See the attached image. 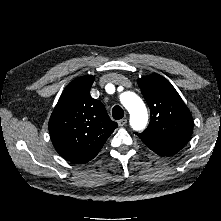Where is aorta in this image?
Wrapping results in <instances>:
<instances>
[{
	"label": "aorta",
	"mask_w": 221,
	"mask_h": 221,
	"mask_svg": "<svg viewBox=\"0 0 221 221\" xmlns=\"http://www.w3.org/2000/svg\"><path fill=\"white\" fill-rule=\"evenodd\" d=\"M120 101L130 114V125L135 131L143 130L148 122V113L141 98L133 92H124Z\"/></svg>",
	"instance_id": "762f6f07"
}]
</instances>
